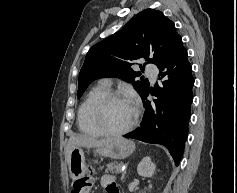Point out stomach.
Returning a JSON list of instances; mask_svg holds the SVG:
<instances>
[{"instance_id":"1","label":"stomach","mask_w":237,"mask_h":193,"mask_svg":"<svg viewBox=\"0 0 237 193\" xmlns=\"http://www.w3.org/2000/svg\"><path fill=\"white\" fill-rule=\"evenodd\" d=\"M135 150V144L125 138H114L107 144L97 147L95 153L112 159H124ZM88 166L85 162L84 150L81 147H74L70 151L69 171L71 177L76 180L87 173Z\"/></svg>"}]
</instances>
